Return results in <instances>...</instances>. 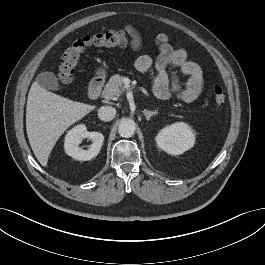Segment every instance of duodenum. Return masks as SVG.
<instances>
[{
	"label": "duodenum",
	"instance_id": "duodenum-1",
	"mask_svg": "<svg viewBox=\"0 0 265 265\" xmlns=\"http://www.w3.org/2000/svg\"><path fill=\"white\" fill-rule=\"evenodd\" d=\"M103 87V81L101 79H94L88 87V96L91 99H96L102 90Z\"/></svg>",
	"mask_w": 265,
	"mask_h": 265
}]
</instances>
